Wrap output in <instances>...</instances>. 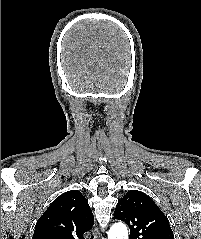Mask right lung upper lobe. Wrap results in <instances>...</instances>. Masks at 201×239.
Wrapping results in <instances>:
<instances>
[{
  "instance_id": "right-lung-upper-lobe-1",
  "label": "right lung upper lobe",
  "mask_w": 201,
  "mask_h": 239,
  "mask_svg": "<svg viewBox=\"0 0 201 239\" xmlns=\"http://www.w3.org/2000/svg\"><path fill=\"white\" fill-rule=\"evenodd\" d=\"M93 223L88 200L80 191H67L37 221L32 239H84Z\"/></svg>"
}]
</instances>
